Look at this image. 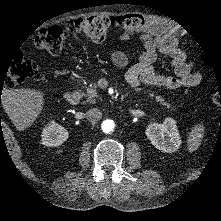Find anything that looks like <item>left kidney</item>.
<instances>
[{
  "label": "left kidney",
  "instance_id": "5707ae66",
  "mask_svg": "<svg viewBox=\"0 0 221 221\" xmlns=\"http://www.w3.org/2000/svg\"><path fill=\"white\" fill-rule=\"evenodd\" d=\"M145 133L151 144L162 152H175L182 144L176 120L171 117L165 118L162 124H149Z\"/></svg>",
  "mask_w": 221,
  "mask_h": 221
}]
</instances>
